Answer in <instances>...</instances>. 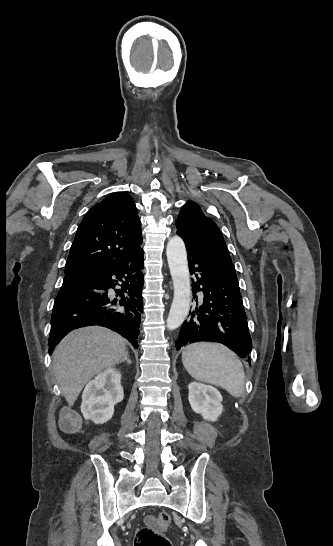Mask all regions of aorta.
Masks as SVG:
<instances>
[{
	"label": "aorta",
	"instance_id": "aorta-1",
	"mask_svg": "<svg viewBox=\"0 0 333 546\" xmlns=\"http://www.w3.org/2000/svg\"><path fill=\"white\" fill-rule=\"evenodd\" d=\"M166 255L174 287V298L167 318V328L174 330L186 319L191 301L187 253L185 244L180 237L175 236L168 241Z\"/></svg>",
	"mask_w": 333,
	"mask_h": 546
}]
</instances>
